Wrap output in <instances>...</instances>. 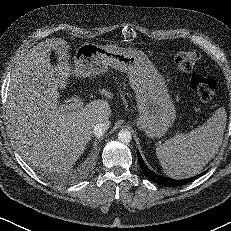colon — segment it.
Here are the masks:
<instances>
[{"label":"colon","mask_w":231,"mask_h":231,"mask_svg":"<svg viewBox=\"0 0 231 231\" xmlns=\"http://www.w3.org/2000/svg\"><path fill=\"white\" fill-rule=\"evenodd\" d=\"M199 60V54L195 51H182L176 54L174 63L182 72L191 71ZM191 88L197 97L203 102H210L216 92V82L212 78L196 75L191 80Z\"/></svg>","instance_id":"5ec220e1"}]
</instances>
